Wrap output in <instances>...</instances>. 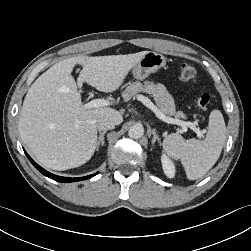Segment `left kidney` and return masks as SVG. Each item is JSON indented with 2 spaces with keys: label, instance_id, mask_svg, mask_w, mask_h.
<instances>
[{
  "label": "left kidney",
  "instance_id": "1",
  "mask_svg": "<svg viewBox=\"0 0 251 251\" xmlns=\"http://www.w3.org/2000/svg\"><path fill=\"white\" fill-rule=\"evenodd\" d=\"M161 163L165 175L169 178H173L176 171L173 162L165 154H163L161 156Z\"/></svg>",
  "mask_w": 251,
  "mask_h": 251
}]
</instances>
